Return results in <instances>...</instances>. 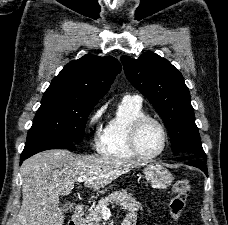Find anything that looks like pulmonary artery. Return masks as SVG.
Returning <instances> with one entry per match:
<instances>
[{"label":"pulmonary artery","mask_w":228,"mask_h":225,"mask_svg":"<svg viewBox=\"0 0 228 225\" xmlns=\"http://www.w3.org/2000/svg\"><path fill=\"white\" fill-rule=\"evenodd\" d=\"M123 100L124 101H131V102H134L137 104H142V102H143L142 97L138 94H133V95L126 94V95H124Z\"/></svg>","instance_id":"1"}]
</instances>
